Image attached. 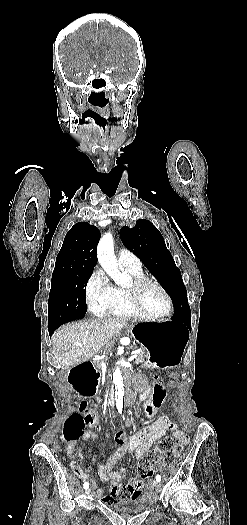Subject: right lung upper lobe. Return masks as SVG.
I'll return each instance as SVG.
<instances>
[{
    "label": "right lung upper lobe",
    "instance_id": "cb5924a9",
    "mask_svg": "<svg viewBox=\"0 0 247 525\" xmlns=\"http://www.w3.org/2000/svg\"><path fill=\"white\" fill-rule=\"evenodd\" d=\"M99 230L87 222L76 223L66 234L54 271H90L96 262Z\"/></svg>",
    "mask_w": 247,
    "mask_h": 525
}]
</instances>
